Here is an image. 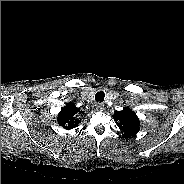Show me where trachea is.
I'll return each instance as SVG.
<instances>
[{
    "label": "trachea",
    "mask_w": 184,
    "mask_h": 184,
    "mask_svg": "<svg viewBox=\"0 0 184 184\" xmlns=\"http://www.w3.org/2000/svg\"><path fill=\"white\" fill-rule=\"evenodd\" d=\"M105 93L103 91H99L95 94V100L97 102H102L104 101Z\"/></svg>",
    "instance_id": "1"
}]
</instances>
